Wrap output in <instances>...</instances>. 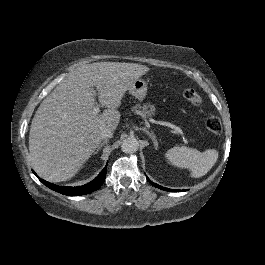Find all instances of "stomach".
<instances>
[{
  "instance_id": "0dacf381",
  "label": "stomach",
  "mask_w": 265,
  "mask_h": 265,
  "mask_svg": "<svg viewBox=\"0 0 265 265\" xmlns=\"http://www.w3.org/2000/svg\"><path fill=\"white\" fill-rule=\"evenodd\" d=\"M128 93L142 100L147 92L146 83L144 80L136 78L128 87Z\"/></svg>"
}]
</instances>
